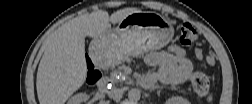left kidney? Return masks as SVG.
<instances>
[{"mask_svg": "<svg viewBox=\"0 0 252 104\" xmlns=\"http://www.w3.org/2000/svg\"><path fill=\"white\" fill-rule=\"evenodd\" d=\"M168 103L169 104H187L188 101L186 99H184L183 97H171L170 99H168Z\"/></svg>", "mask_w": 252, "mask_h": 104, "instance_id": "left-kidney-1", "label": "left kidney"}]
</instances>
